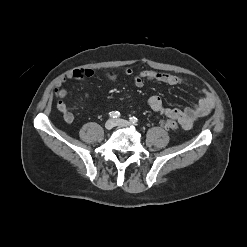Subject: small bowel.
Returning <instances> with one entry per match:
<instances>
[{
    "label": "small bowel",
    "instance_id": "small-bowel-1",
    "mask_svg": "<svg viewBox=\"0 0 247 247\" xmlns=\"http://www.w3.org/2000/svg\"><path fill=\"white\" fill-rule=\"evenodd\" d=\"M93 75L94 71L92 69L78 68L71 71L56 84L55 96L57 98V108L62 113L63 119L66 123L71 124L74 120L73 109L64 101L67 96V89L65 87L66 80L91 78ZM124 75L132 77L135 86L139 88L143 87L146 82L178 85L185 81L180 76L154 70H145L138 74H134L133 71L128 68L124 70ZM105 76L112 81L118 79L117 74L114 72H106ZM201 94V98L193 106L186 107L183 110L164 107L162 100L158 96H151L148 99V106L153 112L176 120L183 128L190 129L201 117L208 115L214 107L212 95L206 88H201Z\"/></svg>",
    "mask_w": 247,
    "mask_h": 247
}]
</instances>
